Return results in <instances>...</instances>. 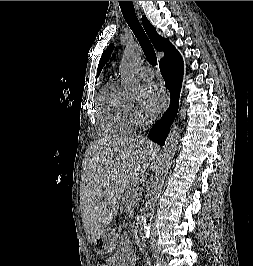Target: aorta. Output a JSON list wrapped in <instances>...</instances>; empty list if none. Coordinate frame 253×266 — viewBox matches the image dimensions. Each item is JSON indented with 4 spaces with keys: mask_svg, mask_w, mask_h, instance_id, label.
I'll return each mask as SVG.
<instances>
[{
    "mask_svg": "<svg viewBox=\"0 0 253 266\" xmlns=\"http://www.w3.org/2000/svg\"><path fill=\"white\" fill-rule=\"evenodd\" d=\"M142 56L141 48L138 45H129L125 48L122 63L120 66L122 74L123 92L126 97L136 98L141 94V85L133 76V69ZM180 138V129L176 124L170 129L162 153L157 161L155 177L148 191L147 202L141 214V227L145 239L150 238L152 219L155 207L160 197L162 187L172 165V160L177 150Z\"/></svg>",
    "mask_w": 253,
    "mask_h": 266,
    "instance_id": "aorta-1",
    "label": "aorta"
}]
</instances>
